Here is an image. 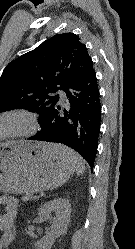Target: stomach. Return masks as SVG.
I'll return each instance as SVG.
<instances>
[{
	"instance_id": "obj_1",
	"label": "stomach",
	"mask_w": 135,
	"mask_h": 249,
	"mask_svg": "<svg viewBox=\"0 0 135 249\" xmlns=\"http://www.w3.org/2000/svg\"><path fill=\"white\" fill-rule=\"evenodd\" d=\"M59 146L31 141L0 144V191L32 194L65 183L75 164Z\"/></svg>"
}]
</instances>
